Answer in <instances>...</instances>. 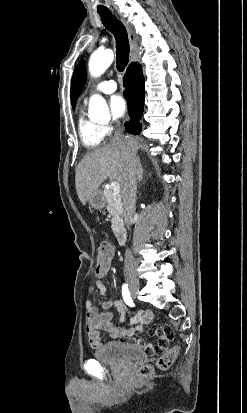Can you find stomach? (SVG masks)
<instances>
[{"label": "stomach", "mask_w": 247, "mask_h": 413, "mask_svg": "<svg viewBox=\"0 0 247 413\" xmlns=\"http://www.w3.org/2000/svg\"><path fill=\"white\" fill-rule=\"evenodd\" d=\"M88 202L92 209H104L106 204V198L102 190H95V192H92V194H90Z\"/></svg>", "instance_id": "stomach-1"}]
</instances>
